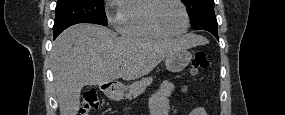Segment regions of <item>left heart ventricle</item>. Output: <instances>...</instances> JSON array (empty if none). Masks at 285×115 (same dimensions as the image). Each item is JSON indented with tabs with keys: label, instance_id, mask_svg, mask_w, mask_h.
I'll return each mask as SVG.
<instances>
[{
	"label": "left heart ventricle",
	"instance_id": "obj_1",
	"mask_svg": "<svg viewBox=\"0 0 285 115\" xmlns=\"http://www.w3.org/2000/svg\"><path fill=\"white\" fill-rule=\"evenodd\" d=\"M158 23L168 32L181 31L185 25V17L182 8L174 1L162 2L156 12Z\"/></svg>",
	"mask_w": 285,
	"mask_h": 115
}]
</instances>
